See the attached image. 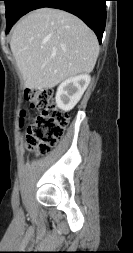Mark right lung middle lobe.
I'll return each mask as SVG.
<instances>
[{"mask_svg":"<svg viewBox=\"0 0 133 253\" xmlns=\"http://www.w3.org/2000/svg\"><path fill=\"white\" fill-rule=\"evenodd\" d=\"M6 7V33L9 32L13 24L18 20L21 4L24 0H3Z\"/></svg>","mask_w":133,"mask_h":253,"instance_id":"obj_1","label":"right lung middle lobe"}]
</instances>
